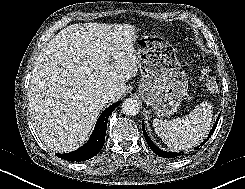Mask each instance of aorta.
<instances>
[{
    "label": "aorta",
    "instance_id": "obj_1",
    "mask_svg": "<svg viewBox=\"0 0 245 189\" xmlns=\"http://www.w3.org/2000/svg\"><path fill=\"white\" fill-rule=\"evenodd\" d=\"M122 110L126 115L135 116L139 113V104L137 100L127 98L122 104Z\"/></svg>",
    "mask_w": 245,
    "mask_h": 189
}]
</instances>
